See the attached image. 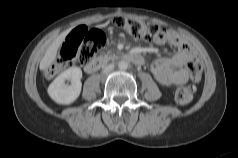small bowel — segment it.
<instances>
[{"instance_id": "c3829d8e", "label": "small bowel", "mask_w": 238, "mask_h": 158, "mask_svg": "<svg viewBox=\"0 0 238 158\" xmlns=\"http://www.w3.org/2000/svg\"><path fill=\"white\" fill-rule=\"evenodd\" d=\"M154 41L159 45L170 44L176 48L172 56L159 58L152 63L151 72L156 80L164 86L186 83L189 74L185 64L195 56L194 49L179 34L169 30Z\"/></svg>"}]
</instances>
